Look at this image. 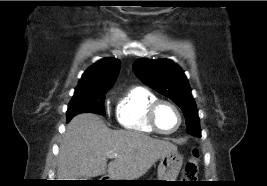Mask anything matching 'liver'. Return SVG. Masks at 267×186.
Segmentation results:
<instances>
[{
  "instance_id": "6515ba94",
  "label": "liver",
  "mask_w": 267,
  "mask_h": 186,
  "mask_svg": "<svg viewBox=\"0 0 267 186\" xmlns=\"http://www.w3.org/2000/svg\"><path fill=\"white\" fill-rule=\"evenodd\" d=\"M177 147L146 134L111 130L95 114L75 116L66 126L60 145L58 180L91 178L106 173L112 180H132L143 176L161 156ZM117 157L107 165L106 153Z\"/></svg>"
}]
</instances>
